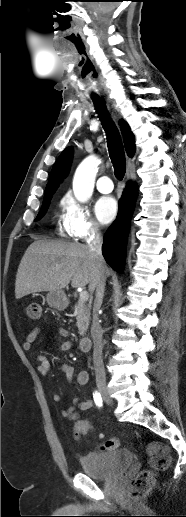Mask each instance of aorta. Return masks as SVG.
<instances>
[{
	"mask_svg": "<svg viewBox=\"0 0 186 517\" xmlns=\"http://www.w3.org/2000/svg\"><path fill=\"white\" fill-rule=\"evenodd\" d=\"M99 164L97 157L89 156L78 166L73 179V191L77 200L86 202L92 196Z\"/></svg>",
	"mask_w": 186,
	"mask_h": 517,
	"instance_id": "1",
	"label": "aorta"
}]
</instances>
